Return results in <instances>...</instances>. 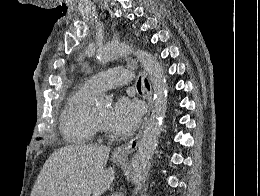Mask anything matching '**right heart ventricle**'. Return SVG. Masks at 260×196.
I'll list each match as a JSON object with an SVG mask.
<instances>
[{
    "label": "right heart ventricle",
    "instance_id": "1",
    "mask_svg": "<svg viewBox=\"0 0 260 196\" xmlns=\"http://www.w3.org/2000/svg\"><path fill=\"white\" fill-rule=\"evenodd\" d=\"M98 96L89 83L74 85L70 91V98L62 114V133L72 143H90L93 141L90 103ZM55 192V190H50Z\"/></svg>",
    "mask_w": 260,
    "mask_h": 196
}]
</instances>
